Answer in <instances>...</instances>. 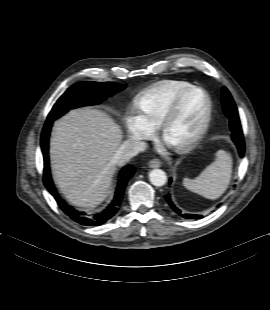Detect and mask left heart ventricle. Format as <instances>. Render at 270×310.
<instances>
[{
  "instance_id": "left-heart-ventricle-1",
  "label": "left heart ventricle",
  "mask_w": 270,
  "mask_h": 310,
  "mask_svg": "<svg viewBox=\"0 0 270 310\" xmlns=\"http://www.w3.org/2000/svg\"><path fill=\"white\" fill-rule=\"evenodd\" d=\"M205 106L206 101L201 94L189 95L168 127L164 141L173 146L193 134L201 123Z\"/></svg>"
}]
</instances>
